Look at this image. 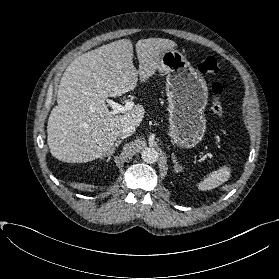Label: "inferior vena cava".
I'll return each instance as SVG.
<instances>
[{"label":"inferior vena cava","instance_id":"obj_1","mask_svg":"<svg viewBox=\"0 0 279 279\" xmlns=\"http://www.w3.org/2000/svg\"><path fill=\"white\" fill-rule=\"evenodd\" d=\"M134 132H135V127L127 125L121 129V131L119 133V137L124 139V138L131 136Z\"/></svg>","mask_w":279,"mask_h":279}]
</instances>
